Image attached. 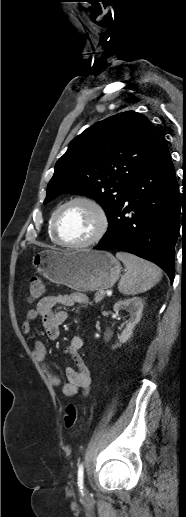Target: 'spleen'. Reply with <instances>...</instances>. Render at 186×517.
Instances as JSON below:
<instances>
[{
    "label": "spleen",
    "instance_id": "3e777b00",
    "mask_svg": "<svg viewBox=\"0 0 186 517\" xmlns=\"http://www.w3.org/2000/svg\"><path fill=\"white\" fill-rule=\"evenodd\" d=\"M116 257L126 268L118 284L119 291L124 295L144 293L154 287L162 277V272L156 265L142 258L124 252H118Z\"/></svg>",
    "mask_w": 186,
    "mask_h": 517
}]
</instances>
